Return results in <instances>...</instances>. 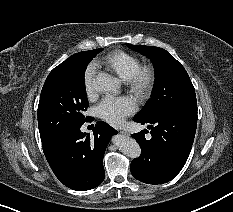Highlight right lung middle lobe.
<instances>
[{
  "label": "right lung middle lobe",
  "mask_w": 233,
  "mask_h": 212,
  "mask_svg": "<svg viewBox=\"0 0 233 212\" xmlns=\"http://www.w3.org/2000/svg\"><path fill=\"white\" fill-rule=\"evenodd\" d=\"M102 48L77 55L54 68L41 91L38 126L42 144L89 120L84 73L89 62Z\"/></svg>",
  "instance_id": "right-lung-middle-lobe-1"
}]
</instances>
